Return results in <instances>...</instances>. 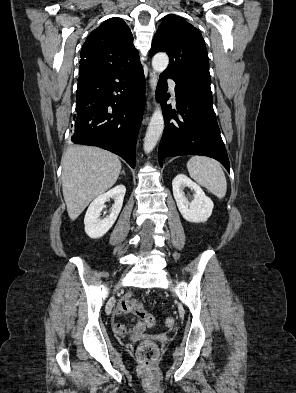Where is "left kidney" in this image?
Segmentation results:
<instances>
[{
  "mask_svg": "<svg viewBox=\"0 0 296 393\" xmlns=\"http://www.w3.org/2000/svg\"><path fill=\"white\" fill-rule=\"evenodd\" d=\"M173 195L177 203V207L188 222L200 223L206 222L212 214L214 204L207 197L202 188L189 179L184 174L177 175L172 181ZM185 187L194 190V199L189 201L183 192Z\"/></svg>",
  "mask_w": 296,
  "mask_h": 393,
  "instance_id": "obj_1",
  "label": "left kidney"
}]
</instances>
